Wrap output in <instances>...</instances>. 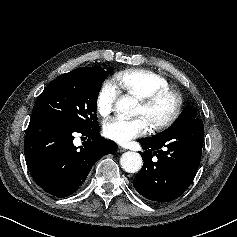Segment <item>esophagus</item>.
Listing matches in <instances>:
<instances>
[{
    "instance_id": "1",
    "label": "esophagus",
    "mask_w": 237,
    "mask_h": 237,
    "mask_svg": "<svg viewBox=\"0 0 237 237\" xmlns=\"http://www.w3.org/2000/svg\"><path fill=\"white\" fill-rule=\"evenodd\" d=\"M126 151V149L124 148V147H122V146H118V152H125Z\"/></svg>"
}]
</instances>
